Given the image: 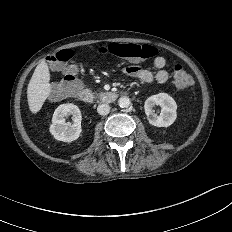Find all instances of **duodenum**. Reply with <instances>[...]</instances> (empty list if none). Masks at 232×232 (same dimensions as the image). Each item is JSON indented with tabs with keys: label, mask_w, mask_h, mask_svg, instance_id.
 <instances>
[{
	"label": "duodenum",
	"mask_w": 232,
	"mask_h": 232,
	"mask_svg": "<svg viewBox=\"0 0 232 232\" xmlns=\"http://www.w3.org/2000/svg\"><path fill=\"white\" fill-rule=\"evenodd\" d=\"M124 93L106 91L99 95H95L88 89H81L78 93V98L83 103L91 104L98 100L102 103H112L119 98L120 95Z\"/></svg>",
	"instance_id": "1"
}]
</instances>
